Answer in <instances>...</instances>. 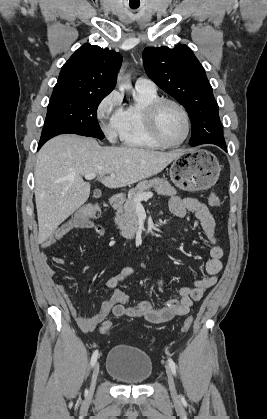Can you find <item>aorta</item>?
Instances as JSON below:
<instances>
[{
	"instance_id": "aorta-1",
	"label": "aorta",
	"mask_w": 267,
	"mask_h": 419,
	"mask_svg": "<svg viewBox=\"0 0 267 419\" xmlns=\"http://www.w3.org/2000/svg\"><path fill=\"white\" fill-rule=\"evenodd\" d=\"M123 71H124V68L122 67V68L120 69L119 74H118V83H120V81H121V79H122V73H123ZM130 87H131V85H130V84H119V90H120V91H124V89L130 88Z\"/></svg>"
}]
</instances>
